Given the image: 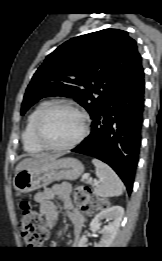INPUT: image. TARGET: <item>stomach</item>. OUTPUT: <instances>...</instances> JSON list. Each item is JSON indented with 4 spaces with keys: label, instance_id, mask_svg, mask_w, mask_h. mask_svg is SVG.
I'll return each mask as SVG.
<instances>
[{
    "label": "stomach",
    "instance_id": "obj_1",
    "mask_svg": "<svg viewBox=\"0 0 162 261\" xmlns=\"http://www.w3.org/2000/svg\"><path fill=\"white\" fill-rule=\"evenodd\" d=\"M83 172L84 166L76 158H50L36 167L17 171L13 186L18 192L28 193L55 181L76 180Z\"/></svg>",
    "mask_w": 162,
    "mask_h": 261
}]
</instances>
